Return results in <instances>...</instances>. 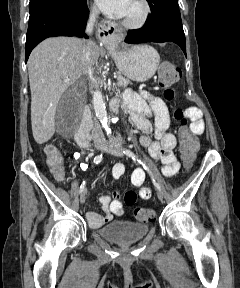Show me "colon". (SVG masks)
Wrapping results in <instances>:
<instances>
[{
	"label": "colon",
	"mask_w": 240,
	"mask_h": 288,
	"mask_svg": "<svg viewBox=\"0 0 240 288\" xmlns=\"http://www.w3.org/2000/svg\"><path fill=\"white\" fill-rule=\"evenodd\" d=\"M180 77V72L178 68L170 63H163L159 68V81L161 86L164 88V97L167 100H172L174 98V90L173 86L178 81ZM175 118L180 122L181 127L179 130V139H180V153L181 158L184 164L189 167L196 156V152L198 149V143L195 138V135L191 132V130L186 126V118L184 113L177 109L175 111ZM46 154V164L53 174V176L62 181L65 177L63 158L58 151V149L54 145H47L45 147ZM137 199V194L128 190L124 194V202L128 206H132L135 204ZM135 217L138 220L144 222L154 221L156 218V212L151 209L146 208H136L134 211Z\"/></svg>",
	"instance_id": "obj_1"
}]
</instances>
